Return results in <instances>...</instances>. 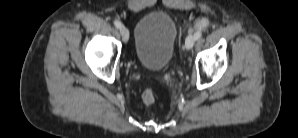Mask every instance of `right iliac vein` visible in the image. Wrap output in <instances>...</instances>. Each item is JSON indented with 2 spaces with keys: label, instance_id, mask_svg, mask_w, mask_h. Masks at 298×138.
Segmentation results:
<instances>
[{
  "label": "right iliac vein",
  "instance_id": "right-iliac-vein-1",
  "mask_svg": "<svg viewBox=\"0 0 298 138\" xmlns=\"http://www.w3.org/2000/svg\"><path fill=\"white\" fill-rule=\"evenodd\" d=\"M120 33H121V35H122L123 40H124V41H127L128 38H129V31H128V29L125 28V27H121V28H120Z\"/></svg>",
  "mask_w": 298,
  "mask_h": 138
}]
</instances>
